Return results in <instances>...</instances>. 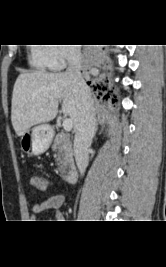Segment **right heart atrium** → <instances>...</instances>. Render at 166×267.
Listing matches in <instances>:
<instances>
[{"label":"right heart atrium","instance_id":"obj_1","mask_svg":"<svg viewBox=\"0 0 166 267\" xmlns=\"http://www.w3.org/2000/svg\"><path fill=\"white\" fill-rule=\"evenodd\" d=\"M50 56L53 69H61L67 61L77 56V51L72 46L53 45L50 46Z\"/></svg>","mask_w":166,"mask_h":267}]
</instances>
